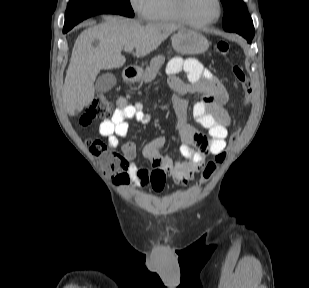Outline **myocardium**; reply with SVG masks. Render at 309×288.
<instances>
[{
	"instance_id": "myocardium-1",
	"label": "myocardium",
	"mask_w": 309,
	"mask_h": 288,
	"mask_svg": "<svg viewBox=\"0 0 309 288\" xmlns=\"http://www.w3.org/2000/svg\"><path fill=\"white\" fill-rule=\"evenodd\" d=\"M217 3V14L213 19L207 20V21H195L192 18L189 17V15L186 12V0H174V6L175 10L179 16V18L186 24L195 27V28H203L212 24H215L219 21V19L222 16L223 13V6L221 0H216Z\"/></svg>"
}]
</instances>
